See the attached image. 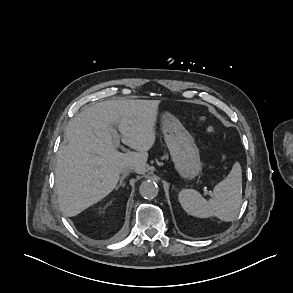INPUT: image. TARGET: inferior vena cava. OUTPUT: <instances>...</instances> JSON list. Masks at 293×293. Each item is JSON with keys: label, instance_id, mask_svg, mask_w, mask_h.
I'll use <instances>...</instances> for the list:
<instances>
[{"label": "inferior vena cava", "instance_id": "obj_1", "mask_svg": "<svg viewBox=\"0 0 293 293\" xmlns=\"http://www.w3.org/2000/svg\"><path fill=\"white\" fill-rule=\"evenodd\" d=\"M134 170V167L133 166H126L124 168L121 169V173L124 175V174H129L131 171Z\"/></svg>", "mask_w": 293, "mask_h": 293}]
</instances>
